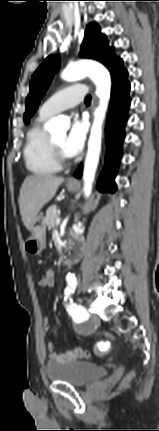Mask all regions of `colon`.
Here are the masks:
<instances>
[{
	"mask_svg": "<svg viewBox=\"0 0 159 431\" xmlns=\"http://www.w3.org/2000/svg\"><path fill=\"white\" fill-rule=\"evenodd\" d=\"M50 266H52V268H53V271H52V276H51V278H49V279H46L47 281H48V284H49V288L50 289H55L56 288V279H55V277L53 276L54 275V271H55V266L54 265H50ZM93 355L90 353V352H87V351H85L84 353H82V358H85V357H87V358H91ZM132 376H133V373H129L128 375H127V377H126V381H128V380H130L131 378H132Z\"/></svg>",
	"mask_w": 159,
	"mask_h": 431,
	"instance_id": "obj_1",
	"label": "colon"
}]
</instances>
